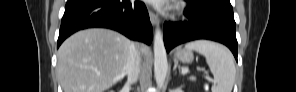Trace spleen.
Instances as JSON below:
<instances>
[{"instance_id":"obj_1","label":"spleen","mask_w":296,"mask_h":92,"mask_svg":"<svg viewBox=\"0 0 296 92\" xmlns=\"http://www.w3.org/2000/svg\"><path fill=\"white\" fill-rule=\"evenodd\" d=\"M185 49L194 50L206 58L216 85L213 92H231L235 80V64L231 52L223 45L206 40L189 42Z\"/></svg>"}]
</instances>
